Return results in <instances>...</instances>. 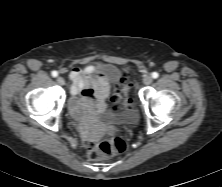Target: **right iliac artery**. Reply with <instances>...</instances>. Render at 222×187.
I'll return each mask as SVG.
<instances>
[{
    "label": "right iliac artery",
    "instance_id": "right-iliac-artery-1",
    "mask_svg": "<svg viewBox=\"0 0 222 187\" xmlns=\"http://www.w3.org/2000/svg\"><path fill=\"white\" fill-rule=\"evenodd\" d=\"M52 76H53V77H57V76H58L57 71H53V72H52Z\"/></svg>",
    "mask_w": 222,
    "mask_h": 187
}]
</instances>
